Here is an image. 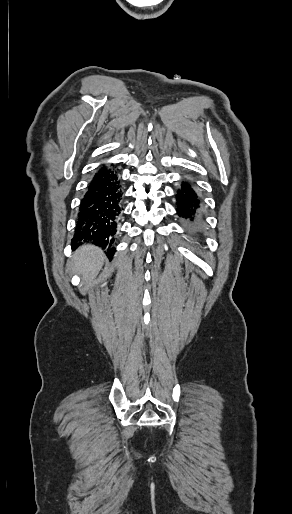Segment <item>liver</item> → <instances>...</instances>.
Returning a JSON list of instances; mask_svg holds the SVG:
<instances>
[{
    "label": "liver",
    "mask_w": 292,
    "mask_h": 514,
    "mask_svg": "<svg viewBox=\"0 0 292 514\" xmlns=\"http://www.w3.org/2000/svg\"><path fill=\"white\" fill-rule=\"evenodd\" d=\"M71 258L72 262L68 264V270L82 276V282L86 284L96 278L104 264L105 254L97 246H80Z\"/></svg>",
    "instance_id": "1"
}]
</instances>
